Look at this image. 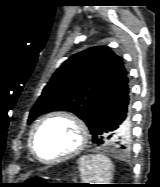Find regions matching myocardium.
Returning a JSON list of instances; mask_svg holds the SVG:
<instances>
[{
  "mask_svg": "<svg viewBox=\"0 0 160 187\" xmlns=\"http://www.w3.org/2000/svg\"><path fill=\"white\" fill-rule=\"evenodd\" d=\"M55 117L65 118L76 126L77 131L79 133V142H78V145L73 150H71L69 153L62 155L60 157H57L55 159L46 160V159H43L36 150V137L42 125L49 119H52ZM88 140H89V128L86 122L80 116L70 111H54L43 116L35 124L34 128L32 129L31 136H30V149H31V153L33 154V156L39 162L50 165V164H56V163L65 161L67 159H70L76 156L86 147Z\"/></svg>",
  "mask_w": 160,
  "mask_h": 187,
  "instance_id": "f54148a6",
  "label": "myocardium"
}]
</instances>
